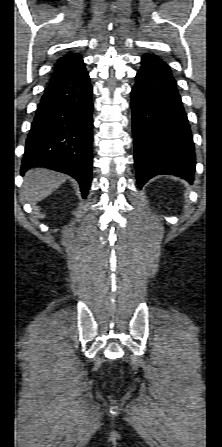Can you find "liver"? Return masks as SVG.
<instances>
[{"instance_id": "liver-1", "label": "liver", "mask_w": 222, "mask_h": 447, "mask_svg": "<svg viewBox=\"0 0 222 447\" xmlns=\"http://www.w3.org/2000/svg\"><path fill=\"white\" fill-rule=\"evenodd\" d=\"M66 180V175L48 169L29 170L24 179L23 192L28 202L34 204L43 200Z\"/></svg>"}]
</instances>
